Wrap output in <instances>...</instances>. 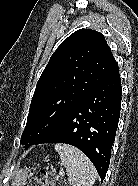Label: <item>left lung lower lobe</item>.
<instances>
[{
    "label": "left lung lower lobe",
    "instance_id": "0a47b994",
    "mask_svg": "<svg viewBox=\"0 0 138 186\" xmlns=\"http://www.w3.org/2000/svg\"><path fill=\"white\" fill-rule=\"evenodd\" d=\"M121 108L118 64L51 132L35 144L66 143L80 149L94 164L103 181Z\"/></svg>",
    "mask_w": 138,
    "mask_h": 186
}]
</instances>
